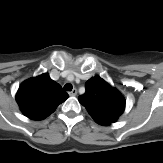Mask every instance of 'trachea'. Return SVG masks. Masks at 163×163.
Returning <instances> with one entry per match:
<instances>
[{
    "label": "trachea",
    "mask_w": 163,
    "mask_h": 163,
    "mask_svg": "<svg viewBox=\"0 0 163 163\" xmlns=\"http://www.w3.org/2000/svg\"><path fill=\"white\" fill-rule=\"evenodd\" d=\"M63 88L66 91H71L73 89V86L71 84H65Z\"/></svg>",
    "instance_id": "obj_1"
}]
</instances>
